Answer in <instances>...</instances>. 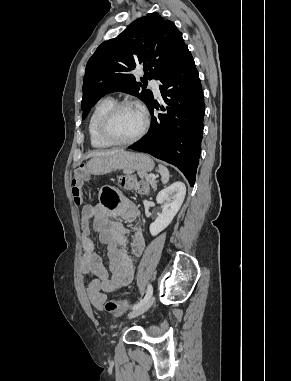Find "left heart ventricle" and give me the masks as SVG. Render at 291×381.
<instances>
[{"label":"left heart ventricle","mask_w":291,"mask_h":381,"mask_svg":"<svg viewBox=\"0 0 291 381\" xmlns=\"http://www.w3.org/2000/svg\"><path fill=\"white\" fill-rule=\"evenodd\" d=\"M142 124L143 116L137 108H123L112 118L109 131L114 138L127 140L140 131Z\"/></svg>","instance_id":"b2bd125f"}]
</instances>
